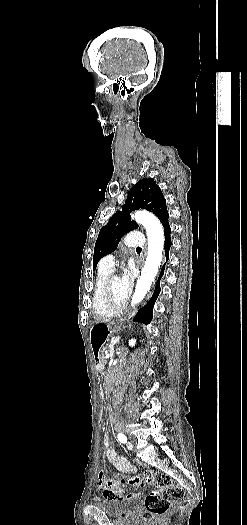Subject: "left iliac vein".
<instances>
[{"label":"left iliac vein","mask_w":247,"mask_h":525,"mask_svg":"<svg viewBox=\"0 0 247 525\" xmlns=\"http://www.w3.org/2000/svg\"><path fill=\"white\" fill-rule=\"evenodd\" d=\"M127 448H128L129 450H132V449H133V444H132V442H127Z\"/></svg>","instance_id":"4c4485c4"}]
</instances>
